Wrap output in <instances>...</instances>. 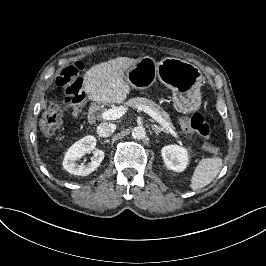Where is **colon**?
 I'll list each match as a JSON object with an SVG mask.
<instances>
[{
    "label": "colon",
    "mask_w": 266,
    "mask_h": 266,
    "mask_svg": "<svg viewBox=\"0 0 266 266\" xmlns=\"http://www.w3.org/2000/svg\"><path fill=\"white\" fill-rule=\"evenodd\" d=\"M82 69L83 62L81 60H75L67 65L57 77V84L63 91L64 100L62 102L59 98H53L46 113L42 117L40 126L45 136L53 135L58 129L61 115L68 103H72L73 106H76L83 101L84 96L81 91L83 84V79L81 77ZM183 125L186 130L197 132L203 140V145L207 151H218V148L208 141L211 128L201 113L194 112L183 122Z\"/></svg>",
    "instance_id": "obj_1"
}]
</instances>
